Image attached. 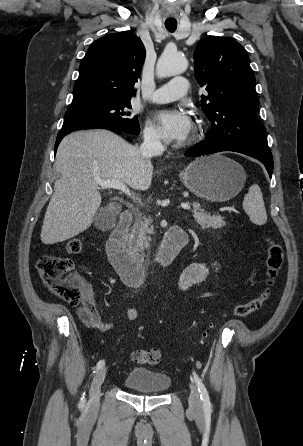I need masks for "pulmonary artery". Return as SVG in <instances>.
<instances>
[{"instance_id": "e3ab8cb5", "label": "pulmonary artery", "mask_w": 303, "mask_h": 446, "mask_svg": "<svg viewBox=\"0 0 303 446\" xmlns=\"http://www.w3.org/2000/svg\"><path fill=\"white\" fill-rule=\"evenodd\" d=\"M187 91L188 81L184 77L177 76L159 87L151 96V100L155 103H168L184 97Z\"/></svg>"}]
</instances>
